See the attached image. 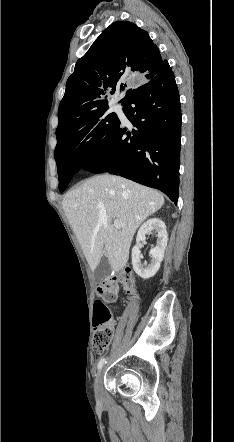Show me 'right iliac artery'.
I'll use <instances>...</instances> for the list:
<instances>
[{"label":"right iliac artery","mask_w":234,"mask_h":442,"mask_svg":"<svg viewBox=\"0 0 234 442\" xmlns=\"http://www.w3.org/2000/svg\"><path fill=\"white\" fill-rule=\"evenodd\" d=\"M107 359L106 358H102L99 362H98V369H101L103 367V365L106 363Z\"/></svg>","instance_id":"82829eb1"}]
</instances>
